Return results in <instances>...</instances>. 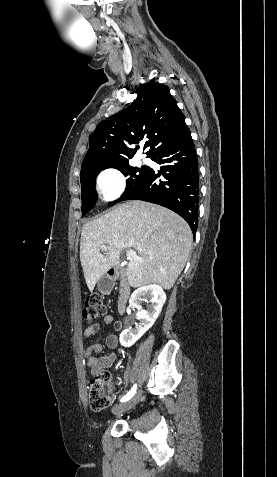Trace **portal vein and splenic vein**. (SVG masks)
Here are the masks:
<instances>
[{
  "instance_id": "obj_1",
  "label": "portal vein and splenic vein",
  "mask_w": 277,
  "mask_h": 477,
  "mask_svg": "<svg viewBox=\"0 0 277 477\" xmlns=\"http://www.w3.org/2000/svg\"><path fill=\"white\" fill-rule=\"evenodd\" d=\"M101 248H102L103 250H106V249H107V246H106V245H102ZM126 254H127V256L130 257V258H134V259H137V258H138L137 254H136V252H135L134 250H131V249H130V250H127Z\"/></svg>"
}]
</instances>
